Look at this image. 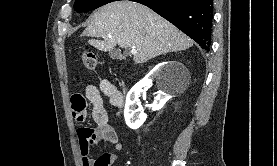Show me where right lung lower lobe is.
I'll return each instance as SVG.
<instances>
[{"label":"right lung lower lobe","mask_w":277,"mask_h":166,"mask_svg":"<svg viewBox=\"0 0 277 166\" xmlns=\"http://www.w3.org/2000/svg\"><path fill=\"white\" fill-rule=\"evenodd\" d=\"M148 6L209 51L213 0H130Z\"/></svg>","instance_id":"98d812e1"}]
</instances>
